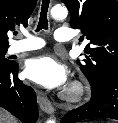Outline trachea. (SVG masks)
I'll list each match as a JSON object with an SVG mask.
<instances>
[{"instance_id": "obj_1", "label": "trachea", "mask_w": 118, "mask_h": 123, "mask_svg": "<svg viewBox=\"0 0 118 123\" xmlns=\"http://www.w3.org/2000/svg\"><path fill=\"white\" fill-rule=\"evenodd\" d=\"M49 3L50 0H42L39 23L37 25L36 31H40L41 29H48L47 12L49 8ZM15 34H17V32Z\"/></svg>"}]
</instances>
